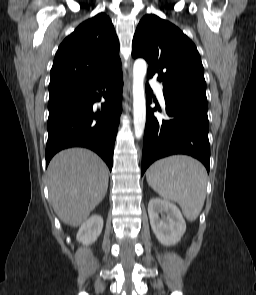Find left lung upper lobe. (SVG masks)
Here are the masks:
<instances>
[{"label": "left lung upper lobe", "mask_w": 256, "mask_h": 295, "mask_svg": "<svg viewBox=\"0 0 256 295\" xmlns=\"http://www.w3.org/2000/svg\"><path fill=\"white\" fill-rule=\"evenodd\" d=\"M132 56L149 63L148 78L156 76L163 82L164 98L208 107L200 55L175 25L156 15H145L133 38Z\"/></svg>", "instance_id": "1"}]
</instances>
